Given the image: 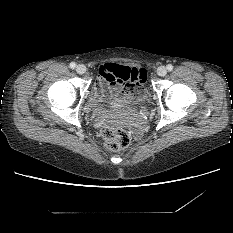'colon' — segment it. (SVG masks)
Returning a JSON list of instances; mask_svg holds the SVG:
<instances>
[{
  "mask_svg": "<svg viewBox=\"0 0 233 233\" xmlns=\"http://www.w3.org/2000/svg\"><path fill=\"white\" fill-rule=\"evenodd\" d=\"M112 79L123 83L127 92H136L138 90L139 82L137 79L131 77L127 68L121 67L116 69ZM101 134L106 140L105 147L109 151L125 149L131 144L130 134L112 122L106 121L103 124Z\"/></svg>",
  "mask_w": 233,
  "mask_h": 233,
  "instance_id": "5ec220e1",
  "label": "colon"
}]
</instances>
